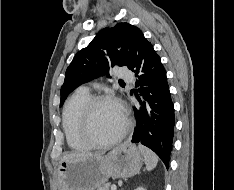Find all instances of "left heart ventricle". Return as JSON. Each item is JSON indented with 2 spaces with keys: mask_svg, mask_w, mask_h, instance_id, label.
Here are the masks:
<instances>
[{
  "mask_svg": "<svg viewBox=\"0 0 234 190\" xmlns=\"http://www.w3.org/2000/svg\"><path fill=\"white\" fill-rule=\"evenodd\" d=\"M124 115L118 105L112 102L99 104L92 116L91 132L99 141L115 136L124 126Z\"/></svg>",
  "mask_w": 234,
  "mask_h": 190,
  "instance_id": "left-heart-ventricle-1",
  "label": "left heart ventricle"
}]
</instances>
